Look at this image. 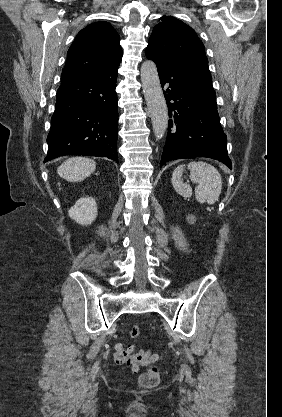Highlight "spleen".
I'll return each mask as SVG.
<instances>
[{
	"label": "spleen",
	"mask_w": 282,
	"mask_h": 417,
	"mask_svg": "<svg viewBox=\"0 0 282 417\" xmlns=\"http://www.w3.org/2000/svg\"><path fill=\"white\" fill-rule=\"evenodd\" d=\"M186 164H179L175 168L172 174V184L185 198L192 196V188L190 184H186L181 180L182 172ZM188 168H190V178L193 182H197L195 186V196L198 202H208V204H214L220 196L222 190V176L212 164L198 160V162H188Z\"/></svg>",
	"instance_id": "3e777b00"
}]
</instances>
